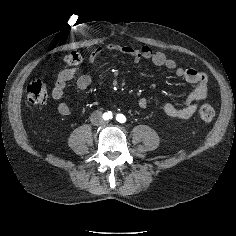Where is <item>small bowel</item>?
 Masks as SVG:
<instances>
[{
    "label": "small bowel",
    "mask_w": 236,
    "mask_h": 236,
    "mask_svg": "<svg viewBox=\"0 0 236 236\" xmlns=\"http://www.w3.org/2000/svg\"><path fill=\"white\" fill-rule=\"evenodd\" d=\"M104 51L127 55L131 57L134 62H140L144 59L150 60L155 66L173 70L178 77L183 78L187 83L195 85L193 91L189 93L181 105H174L169 102H164L160 105L161 110L170 117L180 119L192 117L197 110L199 102L207 95L209 80L206 74L195 69L178 67L173 59L167 57L163 52L154 51L150 46L145 45L141 48H136L111 43L93 50L89 55L90 63H94L98 56ZM75 73V68H67L60 71L52 90V97L57 102V110L63 116H68L73 112V109L64 101V90L68 82L74 78ZM91 83L92 77L88 74L81 75L76 82L77 87L81 90L87 89ZM138 106L142 109H147L149 107L148 99L140 98Z\"/></svg>",
    "instance_id": "c3829d8e"
}]
</instances>
